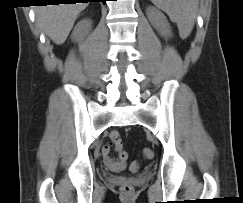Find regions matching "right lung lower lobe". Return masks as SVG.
<instances>
[{
	"label": "right lung lower lobe",
	"instance_id": "1",
	"mask_svg": "<svg viewBox=\"0 0 243 203\" xmlns=\"http://www.w3.org/2000/svg\"><path fill=\"white\" fill-rule=\"evenodd\" d=\"M47 1H52V0H40V2L36 5H40V6L46 5L45 2H47ZM58 1H60V2H52V3H68V4H70V3H76L77 1H80V0H58ZM82 1H85V3H88V2H103V3H105L106 2V0H82Z\"/></svg>",
	"mask_w": 243,
	"mask_h": 203
}]
</instances>
